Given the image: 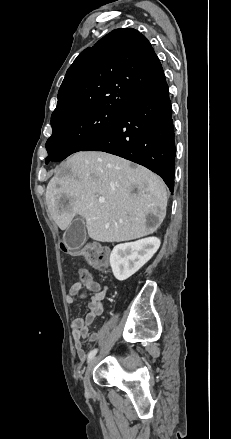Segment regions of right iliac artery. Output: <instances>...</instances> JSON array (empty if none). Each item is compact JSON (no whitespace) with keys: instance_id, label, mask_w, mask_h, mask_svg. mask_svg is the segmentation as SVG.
Masks as SVG:
<instances>
[{"instance_id":"right-iliac-artery-1","label":"right iliac artery","mask_w":231,"mask_h":439,"mask_svg":"<svg viewBox=\"0 0 231 439\" xmlns=\"http://www.w3.org/2000/svg\"><path fill=\"white\" fill-rule=\"evenodd\" d=\"M97 351H98V349H94V350L89 352L88 361L91 360L96 355Z\"/></svg>"}]
</instances>
